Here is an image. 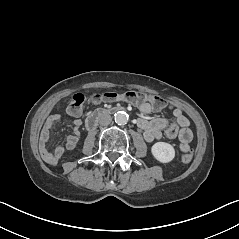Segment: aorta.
Instances as JSON below:
<instances>
[{
  "instance_id": "762f6f07",
  "label": "aorta",
  "mask_w": 239,
  "mask_h": 239,
  "mask_svg": "<svg viewBox=\"0 0 239 239\" xmlns=\"http://www.w3.org/2000/svg\"><path fill=\"white\" fill-rule=\"evenodd\" d=\"M115 123L118 125H126L129 120V115L124 111H118L114 115Z\"/></svg>"
}]
</instances>
